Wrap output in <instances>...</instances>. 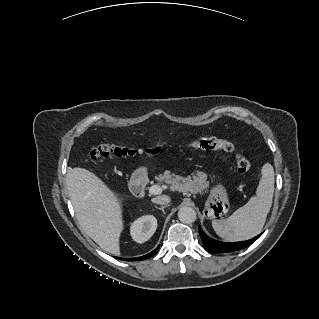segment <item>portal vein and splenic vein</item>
Returning <instances> with one entry per match:
<instances>
[{"instance_id":"1","label":"portal vein and splenic vein","mask_w":319,"mask_h":319,"mask_svg":"<svg viewBox=\"0 0 319 319\" xmlns=\"http://www.w3.org/2000/svg\"><path fill=\"white\" fill-rule=\"evenodd\" d=\"M162 192V189L159 185H153L149 188V194L150 195H157L160 194Z\"/></svg>"}]
</instances>
